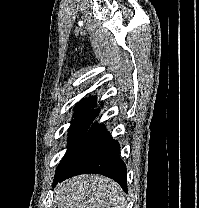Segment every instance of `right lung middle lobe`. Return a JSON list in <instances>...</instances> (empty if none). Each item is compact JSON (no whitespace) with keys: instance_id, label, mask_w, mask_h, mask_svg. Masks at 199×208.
Segmentation results:
<instances>
[{"instance_id":"right-lung-middle-lobe-1","label":"right lung middle lobe","mask_w":199,"mask_h":208,"mask_svg":"<svg viewBox=\"0 0 199 208\" xmlns=\"http://www.w3.org/2000/svg\"><path fill=\"white\" fill-rule=\"evenodd\" d=\"M98 114L99 110L75 111L73 115L74 119L72 120L71 127L69 129V145L67 146V152L65 157L59 163L56 169V174L60 173V171H62L65 166L73 159L91 123Z\"/></svg>"}]
</instances>
